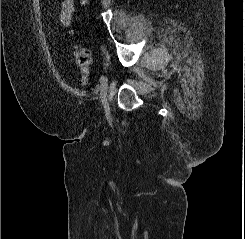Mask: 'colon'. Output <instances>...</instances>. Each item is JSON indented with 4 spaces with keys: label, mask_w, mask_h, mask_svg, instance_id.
I'll return each mask as SVG.
<instances>
[{
    "label": "colon",
    "mask_w": 245,
    "mask_h": 239,
    "mask_svg": "<svg viewBox=\"0 0 245 239\" xmlns=\"http://www.w3.org/2000/svg\"><path fill=\"white\" fill-rule=\"evenodd\" d=\"M81 5H85L86 0H81ZM78 30H72V34H77ZM74 58L80 71V83L86 85L90 77L91 57L89 50L78 41L74 46Z\"/></svg>",
    "instance_id": "colon-1"
}]
</instances>
